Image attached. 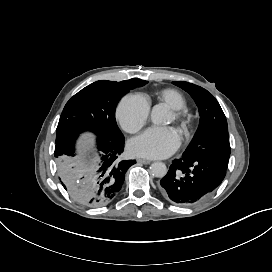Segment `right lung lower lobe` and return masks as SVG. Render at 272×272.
<instances>
[{"label":"right lung lower lobe","instance_id":"98d812e1","mask_svg":"<svg viewBox=\"0 0 272 272\" xmlns=\"http://www.w3.org/2000/svg\"><path fill=\"white\" fill-rule=\"evenodd\" d=\"M78 135L69 137L55 146V157L61 171L60 181L66 191L80 203L102 206L113 201L119 194L125 173L135 160H120L124 149V139L112 142L98 136L96 168L89 176L81 171L86 161L76 157L75 141Z\"/></svg>","mask_w":272,"mask_h":272}]
</instances>
